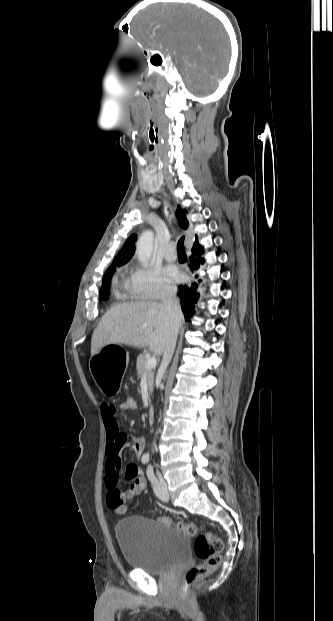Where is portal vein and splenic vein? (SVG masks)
Wrapping results in <instances>:
<instances>
[{
    "label": "portal vein and splenic vein",
    "instance_id": "obj_1",
    "mask_svg": "<svg viewBox=\"0 0 333 621\" xmlns=\"http://www.w3.org/2000/svg\"><path fill=\"white\" fill-rule=\"evenodd\" d=\"M156 363H157V361H156V358H155V357H149V358L147 359V362H146V367H147L148 369H150V368H154V367L156 366Z\"/></svg>",
    "mask_w": 333,
    "mask_h": 621
}]
</instances>
